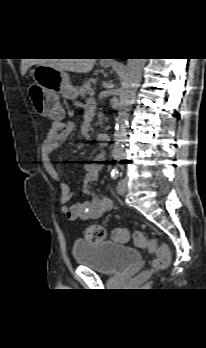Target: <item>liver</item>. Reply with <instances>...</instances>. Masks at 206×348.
Returning a JSON list of instances; mask_svg holds the SVG:
<instances>
[{
	"label": "liver",
	"instance_id": "1",
	"mask_svg": "<svg viewBox=\"0 0 206 348\" xmlns=\"http://www.w3.org/2000/svg\"><path fill=\"white\" fill-rule=\"evenodd\" d=\"M95 62L96 59H23L21 62V74L25 75L34 64L50 66L61 71L88 73L93 69Z\"/></svg>",
	"mask_w": 206,
	"mask_h": 348
}]
</instances>
